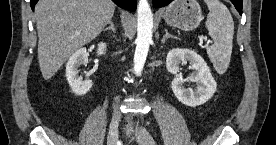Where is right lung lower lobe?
Returning <instances> with one entry per match:
<instances>
[{
  "instance_id": "right-lung-lower-lobe-1",
  "label": "right lung lower lobe",
  "mask_w": 276,
  "mask_h": 145,
  "mask_svg": "<svg viewBox=\"0 0 276 145\" xmlns=\"http://www.w3.org/2000/svg\"><path fill=\"white\" fill-rule=\"evenodd\" d=\"M38 0H30V5L32 10H34L35 4ZM114 3H116L119 7L135 11L136 10V0H112Z\"/></svg>"
}]
</instances>
